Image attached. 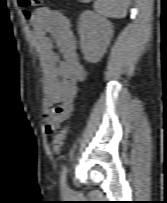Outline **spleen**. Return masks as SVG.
Instances as JSON below:
<instances>
[{"label": "spleen", "instance_id": "spleen-1", "mask_svg": "<svg viewBox=\"0 0 167 203\" xmlns=\"http://www.w3.org/2000/svg\"><path fill=\"white\" fill-rule=\"evenodd\" d=\"M129 0H97L94 9L100 15L110 18H124Z\"/></svg>", "mask_w": 167, "mask_h": 203}]
</instances>
